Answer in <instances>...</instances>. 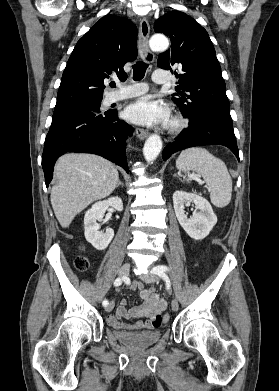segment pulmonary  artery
<instances>
[{
    "label": "pulmonary artery",
    "instance_id": "1",
    "mask_svg": "<svg viewBox=\"0 0 279 391\" xmlns=\"http://www.w3.org/2000/svg\"><path fill=\"white\" fill-rule=\"evenodd\" d=\"M152 79L155 83H159V84L167 83L169 81V77L162 70L156 71L153 74ZM147 89L148 88L145 84H138V85H135L129 89L120 90V91L111 93L110 95H108L106 101H107V103H113V102L120 101L123 99L136 97V96H139V95L145 93L147 91Z\"/></svg>",
    "mask_w": 279,
    "mask_h": 391
}]
</instances>
